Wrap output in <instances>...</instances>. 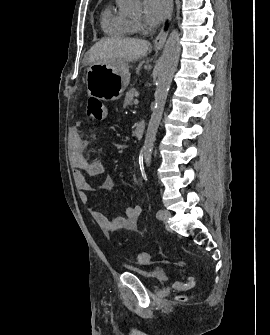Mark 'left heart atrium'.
Here are the masks:
<instances>
[{"label": "left heart atrium", "instance_id": "1", "mask_svg": "<svg viewBox=\"0 0 270 335\" xmlns=\"http://www.w3.org/2000/svg\"><path fill=\"white\" fill-rule=\"evenodd\" d=\"M144 19L152 35L168 17L170 4L168 0H144Z\"/></svg>", "mask_w": 270, "mask_h": 335}]
</instances>
